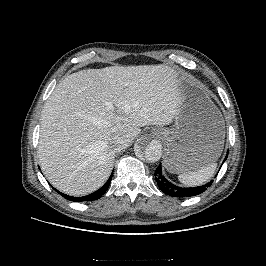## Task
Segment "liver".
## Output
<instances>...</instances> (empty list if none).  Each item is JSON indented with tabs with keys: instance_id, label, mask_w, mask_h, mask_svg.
<instances>
[{
	"instance_id": "6515ba94",
	"label": "liver",
	"mask_w": 266,
	"mask_h": 266,
	"mask_svg": "<svg viewBox=\"0 0 266 266\" xmlns=\"http://www.w3.org/2000/svg\"><path fill=\"white\" fill-rule=\"evenodd\" d=\"M180 104L179 80L168 65L87 69L62 79L46 101L38 157L58 190L82 196L107 180L116 135L128 147L140 127L168 125Z\"/></svg>"
}]
</instances>
